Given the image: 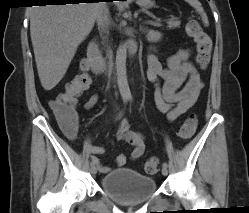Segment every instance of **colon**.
Masks as SVG:
<instances>
[{"instance_id": "5ec220e1", "label": "colon", "mask_w": 249, "mask_h": 213, "mask_svg": "<svg viewBox=\"0 0 249 213\" xmlns=\"http://www.w3.org/2000/svg\"><path fill=\"white\" fill-rule=\"evenodd\" d=\"M187 34L194 39L197 44V63L205 69L210 60L211 40L202 30L200 24L195 19H190L186 25ZM91 85V77L87 72L86 64L82 69L68 82L64 92L50 101L49 106L55 114L58 121L65 126H71L76 122L75 106L77 98L86 91ZM197 119L191 114L182 123L179 129V136L183 139L190 138L196 130ZM143 170L147 174H154L158 170V160L150 157L145 160Z\"/></svg>"}]
</instances>
